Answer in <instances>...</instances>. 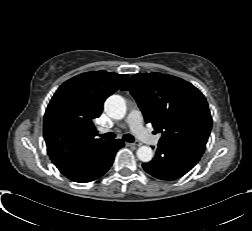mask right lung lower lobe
Returning a JSON list of instances; mask_svg holds the SVG:
<instances>
[{
    "instance_id": "right-lung-lower-lobe-1",
    "label": "right lung lower lobe",
    "mask_w": 252,
    "mask_h": 231,
    "mask_svg": "<svg viewBox=\"0 0 252 231\" xmlns=\"http://www.w3.org/2000/svg\"><path fill=\"white\" fill-rule=\"evenodd\" d=\"M124 146L121 139L109 141L104 146L93 151L87 158L83 167V172L72 179L75 182H90L108 171L114 161L118 149Z\"/></svg>"
}]
</instances>
